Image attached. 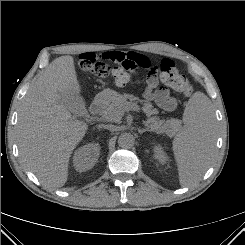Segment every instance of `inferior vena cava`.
I'll list each match as a JSON object with an SVG mask.
<instances>
[{"label": "inferior vena cava", "mask_w": 245, "mask_h": 245, "mask_svg": "<svg viewBox=\"0 0 245 245\" xmlns=\"http://www.w3.org/2000/svg\"><path fill=\"white\" fill-rule=\"evenodd\" d=\"M103 128L108 129L110 131H116L117 127L115 125H103Z\"/></svg>", "instance_id": "602c4592"}]
</instances>
